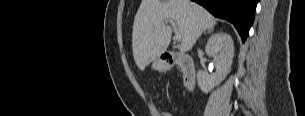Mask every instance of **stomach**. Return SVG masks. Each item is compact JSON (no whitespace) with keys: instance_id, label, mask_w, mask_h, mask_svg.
<instances>
[{"instance_id":"obj_1","label":"stomach","mask_w":305,"mask_h":116,"mask_svg":"<svg viewBox=\"0 0 305 116\" xmlns=\"http://www.w3.org/2000/svg\"><path fill=\"white\" fill-rule=\"evenodd\" d=\"M152 68L157 70V71H164L166 66L159 58H157L152 63Z\"/></svg>"}]
</instances>
